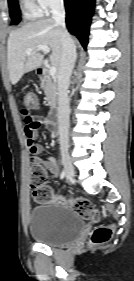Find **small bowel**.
Listing matches in <instances>:
<instances>
[{
    "label": "small bowel",
    "mask_w": 134,
    "mask_h": 281,
    "mask_svg": "<svg viewBox=\"0 0 134 281\" xmlns=\"http://www.w3.org/2000/svg\"><path fill=\"white\" fill-rule=\"evenodd\" d=\"M22 117L24 121V132L26 138V144L30 153L29 162L32 167L40 166L46 168L54 177L59 174V165L57 159L50 155L45 159H42L39 154L43 151V147L35 142L38 134V129L41 126H47L52 136H55V128L48 124V122L42 117L36 116L31 113L30 109L23 108Z\"/></svg>",
    "instance_id": "1"
}]
</instances>
